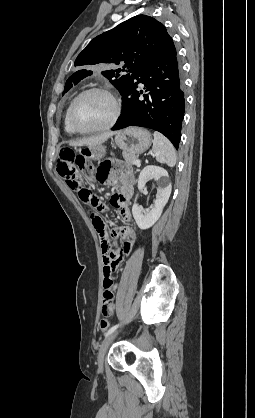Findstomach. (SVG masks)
<instances>
[{"label":"stomach","instance_id":"stomach-1","mask_svg":"<svg viewBox=\"0 0 255 418\" xmlns=\"http://www.w3.org/2000/svg\"><path fill=\"white\" fill-rule=\"evenodd\" d=\"M151 134L148 130L138 127H129L127 129L118 131L115 135L116 145L123 150V152L139 155L146 151L151 145ZM79 152L86 158L92 160H100L105 154L106 150L102 145L83 147Z\"/></svg>","mask_w":255,"mask_h":418}]
</instances>
